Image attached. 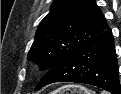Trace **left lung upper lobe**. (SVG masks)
<instances>
[{
	"instance_id": "left-lung-upper-lobe-1",
	"label": "left lung upper lobe",
	"mask_w": 121,
	"mask_h": 94,
	"mask_svg": "<svg viewBox=\"0 0 121 94\" xmlns=\"http://www.w3.org/2000/svg\"><path fill=\"white\" fill-rule=\"evenodd\" d=\"M108 28L95 0H54L41 21L28 59L51 69L76 48Z\"/></svg>"
}]
</instances>
